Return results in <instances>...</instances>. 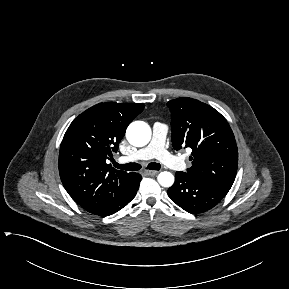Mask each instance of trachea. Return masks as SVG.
I'll return each instance as SVG.
<instances>
[{
	"mask_svg": "<svg viewBox=\"0 0 289 289\" xmlns=\"http://www.w3.org/2000/svg\"><path fill=\"white\" fill-rule=\"evenodd\" d=\"M113 164L116 168L126 171H138L141 169V165L138 163L118 164L117 162L113 161ZM147 168L150 170H159L161 165L159 163H149Z\"/></svg>",
	"mask_w": 289,
	"mask_h": 289,
	"instance_id": "trachea-1",
	"label": "trachea"
}]
</instances>
